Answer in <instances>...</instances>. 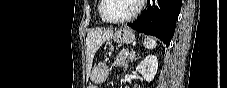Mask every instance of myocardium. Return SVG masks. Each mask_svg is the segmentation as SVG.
Wrapping results in <instances>:
<instances>
[{"label":"myocardium","instance_id":"myocardium-1","mask_svg":"<svg viewBox=\"0 0 227 88\" xmlns=\"http://www.w3.org/2000/svg\"><path fill=\"white\" fill-rule=\"evenodd\" d=\"M142 2L141 0H136V8L135 10L129 14L128 16L121 18V19H116V20H111V19H107L104 14H103V8L106 4V0H101L100 1V7H99V15L101 17V19L105 22V23H109V24H123L126 22H129L131 19H133L141 10L142 7Z\"/></svg>","mask_w":227,"mask_h":88}]
</instances>
